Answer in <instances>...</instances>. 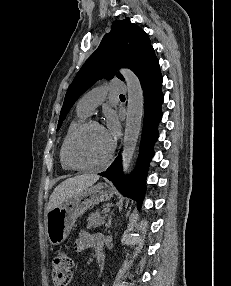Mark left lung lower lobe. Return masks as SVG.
<instances>
[{
	"label": "left lung lower lobe",
	"instance_id": "1",
	"mask_svg": "<svg viewBox=\"0 0 231 286\" xmlns=\"http://www.w3.org/2000/svg\"><path fill=\"white\" fill-rule=\"evenodd\" d=\"M144 95V123L140 154L136 169L132 175L125 177L122 173V158L119 155L112 165L99 175L111 180L123 194L137 201L140 208L145 194V178L150 160L152 159L153 145L157 139V125L161 120L160 106L163 102L161 92L162 76L159 61L156 58L149 63L138 75Z\"/></svg>",
	"mask_w": 231,
	"mask_h": 286
}]
</instances>
